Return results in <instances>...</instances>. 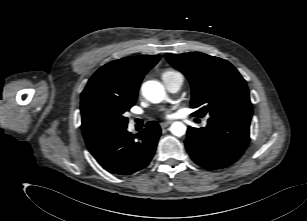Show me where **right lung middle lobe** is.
<instances>
[{
  "mask_svg": "<svg viewBox=\"0 0 307 221\" xmlns=\"http://www.w3.org/2000/svg\"><path fill=\"white\" fill-rule=\"evenodd\" d=\"M136 98L116 96L101 91L88 94L82 105V131L92 142H99L127 127L124 113Z\"/></svg>",
  "mask_w": 307,
  "mask_h": 221,
  "instance_id": "right-lung-middle-lobe-1",
  "label": "right lung middle lobe"
}]
</instances>
